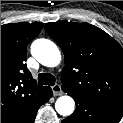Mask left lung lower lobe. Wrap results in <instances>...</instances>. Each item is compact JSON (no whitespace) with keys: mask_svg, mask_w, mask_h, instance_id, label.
Wrapping results in <instances>:
<instances>
[{"mask_svg":"<svg viewBox=\"0 0 123 123\" xmlns=\"http://www.w3.org/2000/svg\"><path fill=\"white\" fill-rule=\"evenodd\" d=\"M69 95L74 98L77 108L62 123H119L123 115V109L115 106L92 101L80 95Z\"/></svg>","mask_w":123,"mask_h":123,"instance_id":"0a47b994","label":"left lung lower lobe"}]
</instances>
